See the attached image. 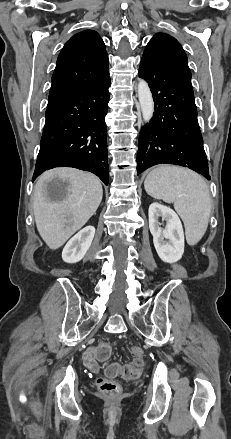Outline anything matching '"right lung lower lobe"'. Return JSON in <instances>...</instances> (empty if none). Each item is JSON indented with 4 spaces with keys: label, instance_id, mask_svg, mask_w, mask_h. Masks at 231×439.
Wrapping results in <instances>:
<instances>
[{
    "label": "right lung lower lobe",
    "instance_id": "right-lung-lower-lobe-1",
    "mask_svg": "<svg viewBox=\"0 0 231 439\" xmlns=\"http://www.w3.org/2000/svg\"><path fill=\"white\" fill-rule=\"evenodd\" d=\"M110 77L48 105L33 181L45 170L74 167L109 182L107 129Z\"/></svg>",
    "mask_w": 231,
    "mask_h": 439
}]
</instances>
